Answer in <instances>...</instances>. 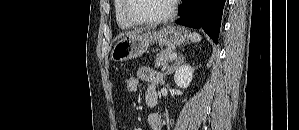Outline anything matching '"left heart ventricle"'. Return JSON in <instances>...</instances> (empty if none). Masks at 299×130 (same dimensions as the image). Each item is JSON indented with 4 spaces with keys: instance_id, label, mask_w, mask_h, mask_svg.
<instances>
[{
    "instance_id": "left-heart-ventricle-1",
    "label": "left heart ventricle",
    "mask_w": 299,
    "mask_h": 130,
    "mask_svg": "<svg viewBox=\"0 0 299 130\" xmlns=\"http://www.w3.org/2000/svg\"><path fill=\"white\" fill-rule=\"evenodd\" d=\"M169 0H132L130 13L138 19H151L167 13Z\"/></svg>"
}]
</instances>
